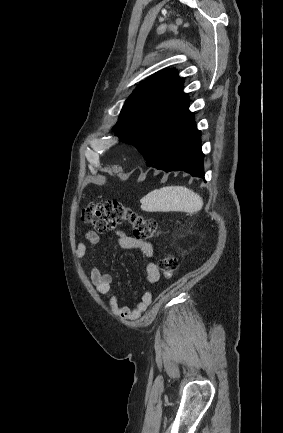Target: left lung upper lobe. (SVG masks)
I'll list each match as a JSON object with an SVG mask.
<instances>
[{
  "label": "left lung upper lobe",
  "instance_id": "obj_1",
  "mask_svg": "<svg viewBox=\"0 0 283 433\" xmlns=\"http://www.w3.org/2000/svg\"><path fill=\"white\" fill-rule=\"evenodd\" d=\"M170 69L143 81L126 100L114 127L120 140L138 151L153 127L179 128L193 118L188 110V95L183 93V80Z\"/></svg>",
  "mask_w": 283,
  "mask_h": 433
}]
</instances>
